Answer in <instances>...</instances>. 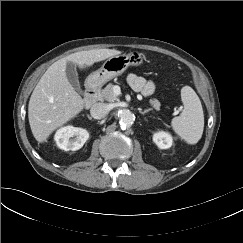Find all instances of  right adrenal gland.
<instances>
[{
    "mask_svg": "<svg viewBox=\"0 0 243 243\" xmlns=\"http://www.w3.org/2000/svg\"><path fill=\"white\" fill-rule=\"evenodd\" d=\"M87 117H88L90 120H92V117H90L89 115H87Z\"/></svg>",
    "mask_w": 243,
    "mask_h": 243,
    "instance_id": "1",
    "label": "right adrenal gland"
}]
</instances>
